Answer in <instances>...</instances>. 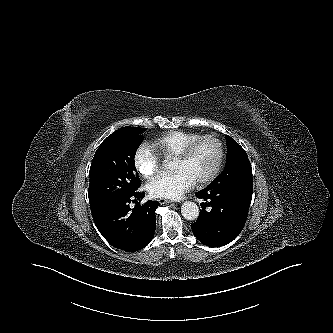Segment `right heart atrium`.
I'll use <instances>...</instances> for the list:
<instances>
[{
    "instance_id": "1",
    "label": "right heart atrium",
    "mask_w": 333,
    "mask_h": 333,
    "mask_svg": "<svg viewBox=\"0 0 333 333\" xmlns=\"http://www.w3.org/2000/svg\"><path fill=\"white\" fill-rule=\"evenodd\" d=\"M133 165L144 178H150L160 169V158L150 147L139 146L133 155Z\"/></svg>"
}]
</instances>
